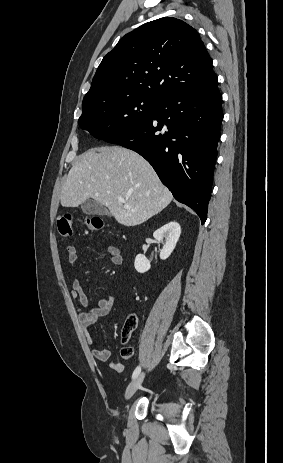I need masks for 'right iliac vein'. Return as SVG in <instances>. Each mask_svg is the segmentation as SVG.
I'll list each match as a JSON object with an SVG mask.
<instances>
[{
	"instance_id": "63e3f726",
	"label": "right iliac vein",
	"mask_w": 283,
	"mask_h": 463,
	"mask_svg": "<svg viewBox=\"0 0 283 463\" xmlns=\"http://www.w3.org/2000/svg\"><path fill=\"white\" fill-rule=\"evenodd\" d=\"M144 380V373L139 374L134 380L128 385L125 392V399L129 400L135 392L139 389Z\"/></svg>"
}]
</instances>
